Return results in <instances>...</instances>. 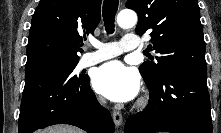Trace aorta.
Returning a JSON list of instances; mask_svg holds the SVG:
<instances>
[{
	"label": "aorta",
	"mask_w": 221,
	"mask_h": 133,
	"mask_svg": "<svg viewBox=\"0 0 221 133\" xmlns=\"http://www.w3.org/2000/svg\"><path fill=\"white\" fill-rule=\"evenodd\" d=\"M137 14L131 10H123L117 16V23L121 28H131L137 23Z\"/></svg>",
	"instance_id": "aorta-1"
}]
</instances>
